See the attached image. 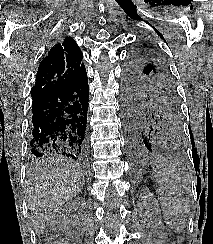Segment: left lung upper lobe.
<instances>
[{
    "label": "left lung upper lobe",
    "mask_w": 213,
    "mask_h": 244,
    "mask_svg": "<svg viewBox=\"0 0 213 244\" xmlns=\"http://www.w3.org/2000/svg\"><path fill=\"white\" fill-rule=\"evenodd\" d=\"M123 106L153 125L163 139L179 138L182 117L169 67L146 43L135 49L124 69Z\"/></svg>",
    "instance_id": "5c2ea615"
}]
</instances>
